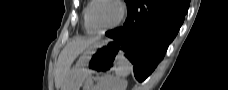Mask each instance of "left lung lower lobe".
I'll return each mask as SVG.
<instances>
[{
	"mask_svg": "<svg viewBox=\"0 0 228 90\" xmlns=\"http://www.w3.org/2000/svg\"><path fill=\"white\" fill-rule=\"evenodd\" d=\"M128 16L123 27L106 36L134 64V75L144 81L162 60L177 35L189 7L188 0H128Z\"/></svg>",
	"mask_w": 228,
	"mask_h": 90,
	"instance_id": "left-lung-lower-lobe-1",
	"label": "left lung lower lobe"
}]
</instances>
